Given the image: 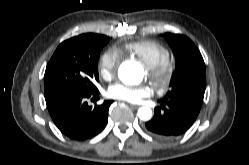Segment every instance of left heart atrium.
<instances>
[{
	"label": "left heart atrium",
	"mask_w": 249,
	"mask_h": 165,
	"mask_svg": "<svg viewBox=\"0 0 249 165\" xmlns=\"http://www.w3.org/2000/svg\"><path fill=\"white\" fill-rule=\"evenodd\" d=\"M151 92V87L147 85L130 86L123 83H115L109 88L108 94L110 97L118 100L137 103L149 96Z\"/></svg>",
	"instance_id": "left-heart-atrium-1"
}]
</instances>
